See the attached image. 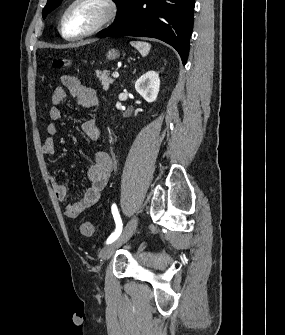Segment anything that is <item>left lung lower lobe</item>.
Masks as SVG:
<instances>
[{
	"mask_svg": "<svg viewBox=\"0 0 285 335\" xmlns=\"http://www.w3.org/2000/svg\"><path fill=\"white\" fill-rule=\"evenodd\" d=\"M195 0H122L113 24L100 38L138 36L160 39L174 47L185 65L193 29Z\"/></svg>",
	"mask_w": 285,
	"mask_h": 335,
	"instance_id": "1",
	"label": "left lung lower lobe"
}]
</instances>
